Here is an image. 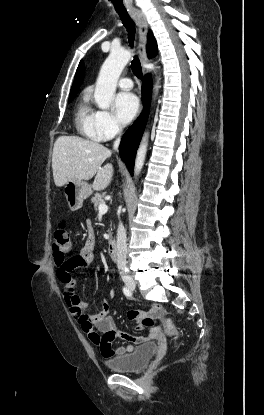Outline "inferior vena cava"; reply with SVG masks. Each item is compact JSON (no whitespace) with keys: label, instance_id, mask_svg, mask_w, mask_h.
Wrapping results in <instances>:
<instances>
[{"label":"inferior vena cava","instance_id":"inferior-vena-cava-1","mask_svg":"<svg viewBox=\"0 0 264 415\" xmlns=\"http://www.w3.org/2000/svg\"><path fill=\"white\" fill-rule=\"evenodd\" d=\"M121 128L119 129V132ZM120 143V137L114 142V149L117 150ZM127 244H126V231L123 224L120 222L117 229V267L120 271L121 276L126 275L127 269Z\"/></svg>","mask_w":264,"mask_h":415}]
</instances>
